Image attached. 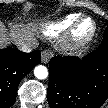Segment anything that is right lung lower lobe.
I'll list each match as a JSON object with an SVG mask.
<instances>
[{"mask_svg":"<svg viewBox=\"0 0 108 108\" xmlns=\"http://www.w3.org/2000/svg\"><path fill=\"white\" fill-rule=\"evenodd\" d=\"M40 62L38 50L31 53L12 48L0 50V108L14 104L20 81Z\"/></svg>","mask_w":108,"mask_h":108,"instance_id":"obj_1","label":"right lung lower lobe"}]
</instances>
